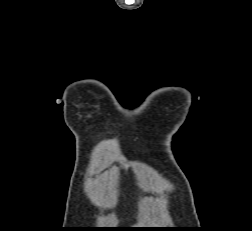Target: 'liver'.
<instances>
[{
  "mask_svg": "<svg viewBox=\"0 0 252 231\" xmlns=\"http://www.w3.org/2000/svg\"><path fill=\"white\" fill-rule=\"evenodd\" d=\"M137 226H142V224H138Z\"/></svg>",
  "mask_w": 252,
  "mask_h": 231,
  "instance_id": "obj_1",
  "label": "liver"
}]
</instances>
